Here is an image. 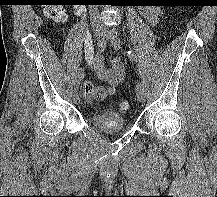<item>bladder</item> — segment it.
Returning a JSON list of instances; mask_svg holds the SVG:
<instances>
[{
    "instance_id": "1",
    "label": "bladder",
    "mask_w": 217,
    "mask_h": 197,
    "mask_svg": "<svg viewBox=\"0 0 217 197\" xmlns=\"http://www.w3.org/2000/svg\"><path fill=\"white\" fill-rule=\"evenodd\" d=\"M91 122L97 130L106 134L121 133L127 130L124 118L116 113H110L108 116L95 115Z\"/></svg>"
}]
</instances>
